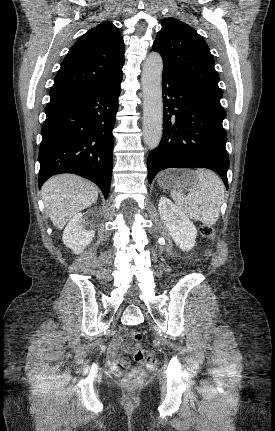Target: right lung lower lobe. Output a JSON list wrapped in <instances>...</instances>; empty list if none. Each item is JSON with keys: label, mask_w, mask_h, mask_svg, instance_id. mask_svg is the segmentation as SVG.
I'll return each instance as SVG.
<instances>
[{"label": "right lung lower lobe", "mask_w": 275, "mask_h": 431, "mask_svg": "<svg viewBox=\"0 0 275 431\" xmlns=\"http://www.w3.org/2000/svg\"><path fill=\"white\" fill-rule=\"evenodd\" d=\"M122 78L88 91L53 97L45 108L39 150V188L52 175L74 173L97 184L107 198Z\"/></svg>", "instance_id": "right-lung-lower-lobe-1"}]
</instances>
